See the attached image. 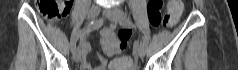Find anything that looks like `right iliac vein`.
Instances as JSON below:
<instances>
[{"label":"right iliac vein","mask_w":238,"mask_h":70,"mask_svg":"<svg viewBox=\"0 0 238 70\" xmlns=\"http://www.w3.org/2000/svg\"><path fill=\"white\" fill-rule=\"evenodd\" d=\"M100 13V7L99 6H92L89 10V13H88V18L89 19H94L96 18ZM73 59L75 61H80L81 59V50L79 48H76L74 51H73Z\"/></svg>","instance_id":"right-iliac-vein-1"}]
</instances>
